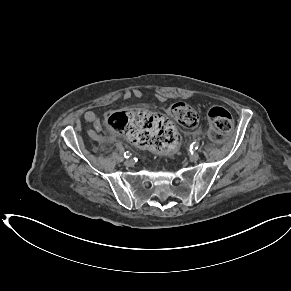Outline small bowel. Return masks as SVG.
I'll use <instances>...</instances> for the list:
<instances>
[{
  "instance_id": "1",
  "label": "small bowel",
  "mask_w": 291,
  "mask_h": 291,
  "mask_svg": "<svg viewBox=\"0 0 291 291\" xmlns=\"http://www.w3.org/2000/svg\"><path fill=\"white\" fill-rule=\"evenodd\" d=\"M139 90H132L131 94L133 96H138ZM84 120H86L87 122H90L94 125L95 130H90L88 131V136L96 141L97 143H106L107 141H109L110 139L107 138L106 136H104L103 134L100 133L101 130V125L96 117V115L92 112V111H86L83 115Z\"/></svg>"
}]
</instances>
